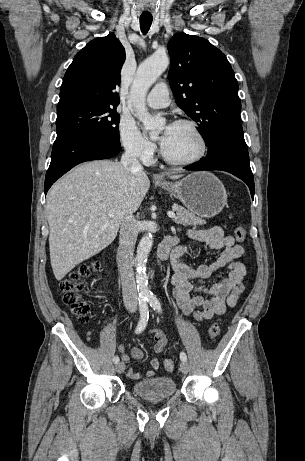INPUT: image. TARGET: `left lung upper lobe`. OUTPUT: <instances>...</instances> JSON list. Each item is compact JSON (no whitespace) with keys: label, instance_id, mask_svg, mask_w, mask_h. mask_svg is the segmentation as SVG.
Wrapping results in <instances>:
<instances>
[{"label":"left lung upper lobe","instance_id":"5c2ea615","mask_svg":"<svg viewBox=\"0 0 305 461\" xmlns=\"http://www.w3.org/2000/svg\"><path fill=\"white\" fill-rule=\"evenodd\" d=\"M168 73L176 104L197 122L208 146L223 127L241 124L238 83L226 56L208 40L185 33L168 42Z\"/></svg>","mask_w":305,"mask_h":461}]
</instances>
